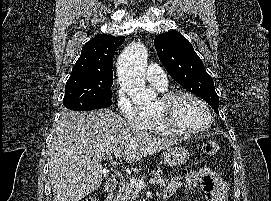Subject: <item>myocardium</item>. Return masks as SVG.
I'll use <instances>...</instances> for the list:
<instances>
[{"instance_id":"myocardium-1","label":"myocardium","mask_w":271,"mask_h":201,"mask_svg":"<svg viewBox=\"0 0 271 201\" xmlns=\"http://www.w3.org/2000/svg\"><path fill=\"white\" fill-rule=\"evenodd\" d=\"M181 98H189L198 102L200 105H202L209 116L208 124L199 129H184L178 126L168 115L161 114V113L155 114V119L158 121V123L167 132L176 136H191V135L203 133L206 130H208L214 123V114L210 106L199 96L187 91L174 90V91H169V92L164 93L161 96L160 100L167 105H171L175 101Z\"/></svg>"}]
</instances>
